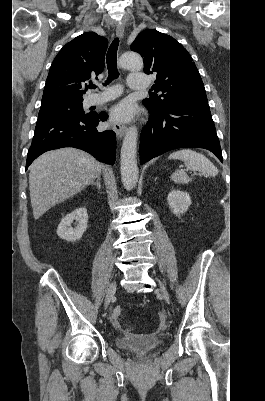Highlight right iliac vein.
Returning a JSON list of instances; mask_svg holds the SVG:
<instances>
[{
  "label": "right iliac vein",
  "instance_id": "63e3f726",
  "mask_svg": "<svg viewBox=\"0 0 265 401\" xmlns=\"http://www.w3.org/2000/svg\"><path fill=\"white\" fill-rule=\"evenodd\" d=\"M116 289H117V283H116V281H113L110 284V286H109V288H108V290L106 292V296H105V299H104V308L105 309L108 308V306H109V304H110V302H111V300H112V298H113V296H114V294L116 292Z\"/></svg>",
  "mask_w": 265,
  "mask_h": 401
}]
</instances>
